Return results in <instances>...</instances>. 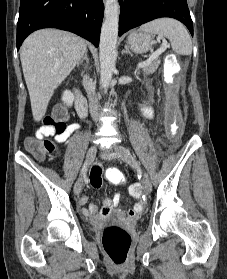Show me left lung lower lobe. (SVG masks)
<instances>
[{
  "mask_svg": "<svg viewBox=\"0 0 227 279\" xmlns=\"http://www.w3.org/2000/svg\"><path fill=\"white\" fill-rule=\"evenodd\" d=\"M119 2V35L153 19L170 17L186 25L193 36V23L186 0H119Z\"/></svg>",
  "mask_w": 227,
  "mask_h": 279,
  "instance_id": "left-lung-lower-lobe-1",
  "label": "left lung lower lobe"
}]
</instances>
